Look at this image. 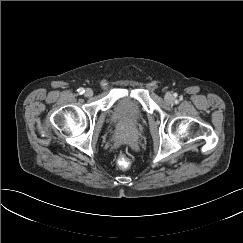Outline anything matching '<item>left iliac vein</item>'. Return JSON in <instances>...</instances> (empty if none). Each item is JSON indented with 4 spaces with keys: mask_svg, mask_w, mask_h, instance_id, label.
<instances>
[{
    "mask_svg": "<svg viewBox=\"0 0 243 243\" xmlns=\"http://www.w3.org/2000/svg\"><path fill=\"white\" fill-rule=\"evenodd\" d=\"M165 101L171 103L173 101V97L171 94H166Z\"/></svg>",
    "mask_w": 243,
    "mask_h": 243,
    "instance_id": "left-iliac-vein-1",
    "label": "left iliac vein"
}]
</instances>
